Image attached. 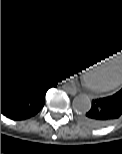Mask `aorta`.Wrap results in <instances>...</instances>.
<instances>
[{"mask_svg": "<svg viewBox=\"0 0 122 154\" xmlns=\"http://www.w3.org/2000/svg\"><path fill=\"white\" fill-rule=\"evenodd\" d=\"M75 112L85 114L91 109V100L86 94L77 95L72 102Z\"/></svg>", "mask_w": 122, "mask_h": 154, "instance_id": "obj_1", "label": "aorta"}]
</instances>
